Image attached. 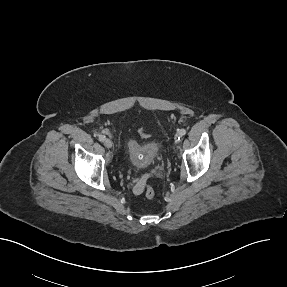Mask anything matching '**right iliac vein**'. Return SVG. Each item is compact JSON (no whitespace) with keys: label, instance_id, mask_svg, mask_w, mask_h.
<instances>
[{"label":"right iliac vein","instance_id":"1","mask_svg":"<svg viewBox=\"0 0 287 287\" xmlns=\"http://www.w3.org/2000/svg\"><path fill=\"white\" fill-rule=\"evenodd\" d=\"M103 143H104V146L108 149L112 148L113 146L112 141L110 139H105Z\"/></svg>","mask_w":287,"mask_h":287}]
</instances>
